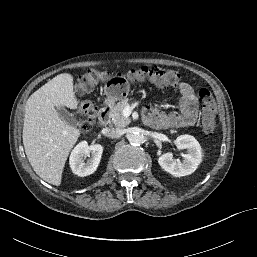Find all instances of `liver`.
<instances>
[{"instance_id":"1","label":"liver","mask_w":257,"mask_h":257,"mask_svg":"<svg viewBox=\"0 0 257 257\" xmlns=\"http://www.w3.org/2000/svg\"><path fill=\"white\" fill-rule=\"evenodd\" d=\"M73 76L62 73L35 91L27 100L23 145L33 170L46 182L59 186L62 173L80 130L62 120L56 108H78Z\"/></svg>"}]
</instances>
